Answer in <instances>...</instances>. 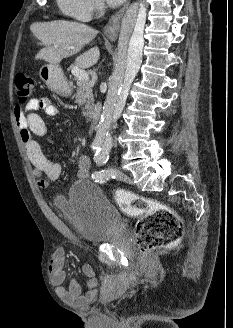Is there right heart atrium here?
Segmentation results:
<instances>
[{"instance_id":"d8ad5b80","label":"right heart atrium","mask_w":233,"mask_h":328,"mask_svg":"<svg viewBox=\"0 0 233 328\" xmlns=\"http://www.w3.org/2000/svg\"><path fill=\"white\" fill-rule=\"evenodd\" d=\"M61 9L83 22L91 20L102 8L100 0H58Z\"/></svg>"}]
</instances>
